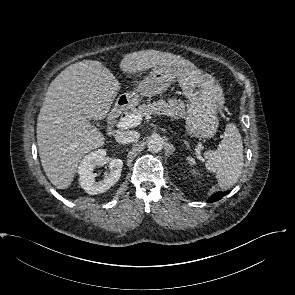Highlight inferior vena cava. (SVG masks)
Masks as SVG:
<instances>
[{
    "label": "inferior vena cava",
    "mask_w": 295,
    "mask_h": 295,
    "mask_svg": "<svg viewBox=\"0 0 295 295\" xmlns=\"http://www.w3.org/2000/svg\"><path fill=\"white\" fill-rule=\"evenodd\" d=\"M139 136V133L136 131H120L116 133L115 139L118 143L128 144L136 141Z\"/></svg>",
    "instance_id": "obj_1"
}]
</instances>
